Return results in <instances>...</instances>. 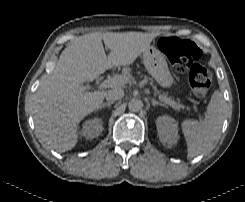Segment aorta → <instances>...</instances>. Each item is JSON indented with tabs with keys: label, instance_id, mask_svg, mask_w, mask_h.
<instances>
[{
	"label": "aorta",
	"instance_id": "aorta-1",
	"mask_svg": "<svg viewBox=\"0 0 245 202\" xmlns=\"http://www.w3.org/2000/svg\"><path fill=\"white\" fill-rule=\"evenodd\" d=\"M128 108L132 112H139L143 108V102L138 98H133L129 101Z\"/></svg>",
	"mask_w": 245,
	"mask_h": 202
}]
</instances>
